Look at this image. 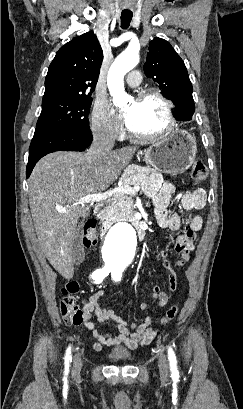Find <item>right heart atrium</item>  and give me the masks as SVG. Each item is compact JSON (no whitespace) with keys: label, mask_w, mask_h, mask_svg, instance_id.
<instances>
[{"label":"right heart atrium","mask_w":243,"mask_h":409,"mask_svg":"<svg viewBox=\"0 0 243 409\" xmlns=\"http://www.w3.org/2000/svg\"><path fill=\"white\" fill-rule=\"evenodd\" d=\"M91 131L93 136L103 142L113 143L121 137V129L112 117L106 102L95 104L91 114Z\"/></svg>","instance_id":"d8ad5b80"}]
</instances>
